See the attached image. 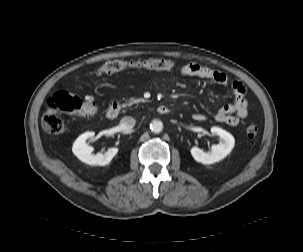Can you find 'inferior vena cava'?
Here are the masks:
<instances>
[{
	"instance_id": "inferior-vena-cava-1",
	"label": "inferior vena cava",
	"mask_w": 303,
	"mask_h": 252,
	"mask_svg": "<svg viewBox=\"0 0 303 252\" xmlns=\"http://www.w3.org/2000/svg\"><path fill=\"white\" fill-rule=\"evenodd\" d=\"M136 120L133 117L125 116L121 119L120 124L124 129H131L134 127Z\"/></svg>"
}]
</instances>
